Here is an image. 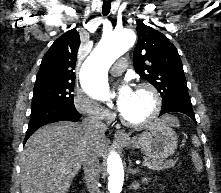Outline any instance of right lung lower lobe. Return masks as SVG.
Listing matches in <instances>:
<instances>
[{"mask_svg":"<svg viewBox=\"0 0 221 193\" xmlns=\"http://www.w3.org/2000/svg\"><path fill=\"white\" fill-rule=\"evenodd\" d=\"M81 114L75 108L63 106H50L31 112L28 130L24 144L27 139L41 126L57 121L69 120L78 121Z\"/></svg>","mask_w":221,"mask_h":193,"instance_id":"obj_1","label":"right lung lower lobe"}]
</instances>
